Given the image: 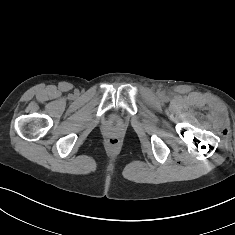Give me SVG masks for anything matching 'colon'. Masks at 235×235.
<instances>
[{"label":"colon","mask_w":235,"mask_h":235,"mask_svg":"<svg viewBox=\"0 0 235 235\" xmlns=\"http://www.w3.org/2000/svg\"><path fill=\"white\" fill-rule=\"evenodd\" d=\"M109 144H110L111 146H116V145L118 144V139H116V138H111V139L109 140Z\"/></svg>","instance_id":"obj_1"}]
</instances>
